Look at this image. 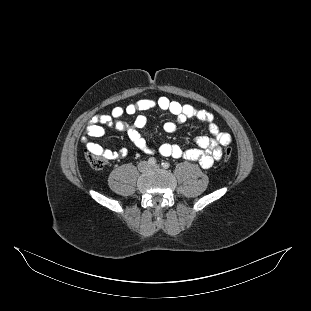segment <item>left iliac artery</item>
I'll use <instances>...</instances> for the list:
<instances>
[{"instance_id": "obj_1", "label": "left iliac artery", "mask_w": 311, "mask_h": 311, "mask_svg": "<svg viewBox=\"0 0 311 311\" xmlns=\"http://www.w3.org/2000/svg\"><path fill=\"white\" fill-rule=\"evenodd\" d=\"M161 166L164 168V169H168L170 167V164L168 162H163L161 164Z\"/></svg>"}]
</instances>
